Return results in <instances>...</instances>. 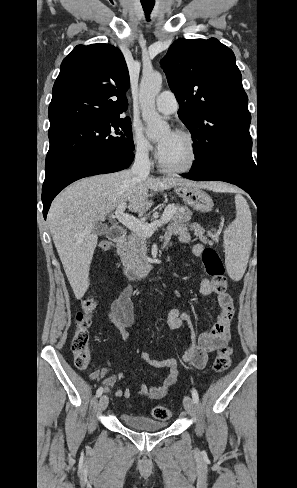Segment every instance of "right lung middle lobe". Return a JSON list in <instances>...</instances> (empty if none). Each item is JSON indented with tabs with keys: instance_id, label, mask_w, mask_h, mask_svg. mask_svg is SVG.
<instances>
[{
	"instance_id": "obj_1",
	"label": "right lung middle lobe",
	"mask_w": 297,
	"mask_h": 488,
	"mask_svg": "<svg viewBox=\"0 0 297 488\" xmlns=\"http://www.w3.org/2000/svg\"><path fill=\"white\" fill-rule=\"evenodd\" d=\"M48 136L50 148L46 156L45 178L86 157L134 150L129 117L75 124L50 132Z\"/></svg>"
}]
</instances>
